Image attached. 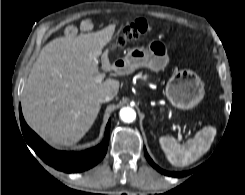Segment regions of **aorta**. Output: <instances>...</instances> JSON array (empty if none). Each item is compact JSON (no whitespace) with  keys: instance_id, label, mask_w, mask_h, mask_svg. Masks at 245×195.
<instances>
[{"instance_id":"1","label":"aorta","mask_w":245,"mask_h":195,"mask_svg":"<svg viewBox=\"0 0 245 195\" xmlns=\"http://www.w3.org/2000/svg\"><path fill=\"white\" fill-rule=\"evenodd\" d=\"M119 116L123 122L132 123L136 119V112L131 107H123L119 112Z\"/></svg>"}]
</instances>
